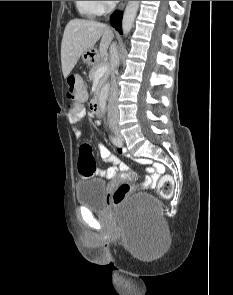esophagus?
Returning a JSON list of instances; mask_svg holds the SVG:
<instances>
[{
	"label": "esophagus",
	"mask_w": 233,
	"mask_h": 295,
	"mask_svg": "<svg viewBox=\"0 0 233 295\" xmlns=\"http://www.w3.org/2000/svg\"><path fill=\"white\" fill-rule=\"evenodd\" d=\"M125 4H126V1H122L121 4H120V6H119V9L120 10L123 9L124 6H125Z\"/></svg>",
	"instance_id": "esophagus-1"
}]
</instances>
